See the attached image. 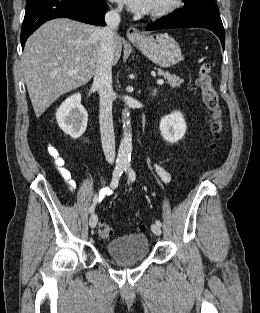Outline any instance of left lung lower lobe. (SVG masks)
I'll list each match as a JSON object with an SVG mask.
<instances>
[{"label":"left lung lower lobe","instance_id":"left-lung-lower-lobe-1","mask_svg":"<svg viewBox=\"0 0 260 313\" xmlns=\"http://www.w3.org/2000/svg\"><path fill=\"white\" fill-rule=\"evenodd\" d=\"M180 27H201L213 31L221 40L222 46H225V31L221 19L202 16V15H188L175 12L162 17L158 22L151 23L146 26V30H159L166 28H180Z\"/></svg>","mask_w":260,"mask_h":313}]
</instances>
